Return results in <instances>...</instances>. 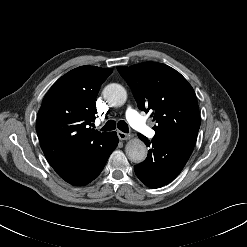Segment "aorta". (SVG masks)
Segmentation results:
<instances>
[{"label": "aorta", "mask_w": 247, "mask_h": 247, "mask_svg": "<svg viewBox=\"0 0 247 247\" xmlns=\"http://www.w3.org/2000/svg\"><path fill=\"white\" fill-rule=\"evenodd\" d=\"M103 97L111 106L119 107L126 102L127 92L122 85L112 83L104 88ZM125 152L128 159L134 163H140L147 157V147L145 143L138 138L127 142Z\"/></svg>", "instance_id": "obj_1"}]
</instances>
